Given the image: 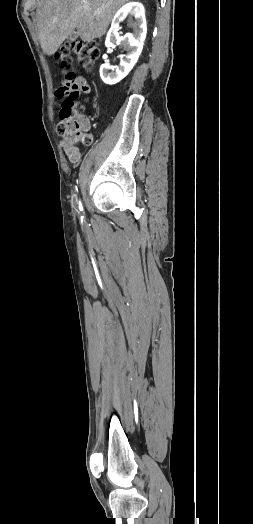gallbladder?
I'll return each mask as SVG.
<instances>
[{"mask_svg":"<svg viewBox=\"0 0 253 524\" xmlns=\"http://www.w3.org/2000/svg\"><path fill=\"white\" fill-rule=\"evenodd\" d=\"M77 34L75 32H73L71 35H70V40H75L77 38Z\"/></svg>","mask_w":253,"mask_h":524,"instance_id":"gallbladder-1","label":"gallbladder"}]
</instances>
